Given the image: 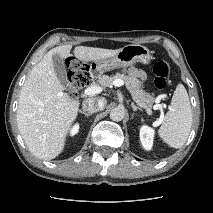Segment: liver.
Here are the masks:
<instances>
[{"instance_id":"obj_1","label":"liver","mask_w":213,"mask_h":213,"mask_svg":"<svg viewBox=\"0 0 213 213\" xmlns=\"http://www.w3.org/2000/svg\"><path fill=\"white\" fill-rule=\"evenodd\" d=\"M71 49L72 45H61L47 52L20 91L18 129L29 151L43 160L54 159L63 151L79 110L80 102L63 92L52 62L54 54L63 59L71 56ZM119 50L77 46L74 57L83 62L98 61L116 55Z\"/></svg>"}]
</instances>
